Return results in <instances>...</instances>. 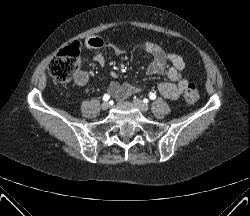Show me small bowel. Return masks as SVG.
I'll return each mask as SVG.
<instances>
[{"instance_id": "obj_1", "label": "small bowel", "mask_w": 250, "mask_h": 216, "mask_svg": "<svg viewBox=\"0 0 250 216\" xmlns=\"http://www.w3.org/2000/svg\"><path fill=\"white\" fill-rule=\"evenodd\" d=\"M110 46V44L99 37H91L86 41V46L90 49H98L103 46ZM114 51L122 54L124 50L119 47L112 46ZM143 51L152 56V61L147 68L149 74L161 73L165 70L166 65L169 64L167 76L169 81H163L158 85L159 93L165 98L177 99L179 98L189 85V82L184 74L185 62L183 58L173 52L165 51L160 45L153 42H143L141 45ZM95 61L100 64H105V58L102 54L95 56ZM102 79H106V75H101ZM90 79V73L80 70L74 77V82L77 85L83 86ZM139 87L132 83L119 84L116 81H111L109 85V92L117 99L124 100L130 95L138 93Z\"/></svg>"}]
</instances>
